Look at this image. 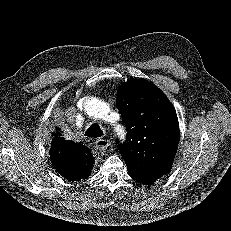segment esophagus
I'll return each mask as SVG.
<instances>
[{"label":"esophagus","mask_w":231,"mask_h":231,"mask_svg":"<svg viewBox=\"0 0 231 231\" xmlns=\"http://www.w3.org/2000/svg\"><path fill=\"white\" fill-rule=\"evenodd\" d=\"M109 145H110V141L105 138H99L95 142V148L101 151L106 150L109 147Z\"/></svg>","instance_id":"1"}]
</instances>
